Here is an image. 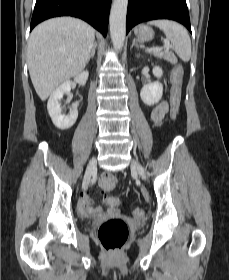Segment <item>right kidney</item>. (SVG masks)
<instances>
[{
	"label": "right kidney",
	"instance_id": "obj_1",
	"mask_svg": "<svg viewBox=\"0 0 229 280\" xmlns=\"http://www.w3.org/2000/svg\"><path fill=\"white\" fill-rule=\"evenodd\" d=\"M89 72L83 71L78 74L74 80L80 85L84 86L88 80ZM71 90V82L65 81L61 84L50 96L47 109L48 113L52 119L53 124L61 130H67L71 128L77 120L78 117V103H74L68 115L62 114L60 107V100L63 98L65 93Z\"/></svg>",
	"mask_w": 229,
	"mask_h": 280
}]
</instances>
